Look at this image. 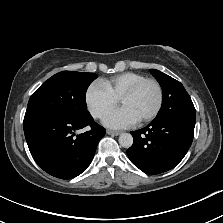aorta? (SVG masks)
<instances>
[{"label":"aorta","instance_id":"762f6f07","mask_svg":"<svg viewBox=\"0 0 223 223\" xmlns=\"http://www.w3.org/2000/svg\"><path fill=\"white\" fill-rule=\"evenodd\" d=\"M118 140L119 144L125 148L130 147L133 143V137L130 133H121Z\"/></svg>","mask_w":223,"mask_h":223}]
</instances>
